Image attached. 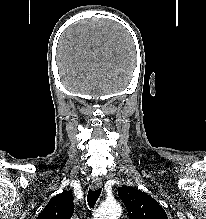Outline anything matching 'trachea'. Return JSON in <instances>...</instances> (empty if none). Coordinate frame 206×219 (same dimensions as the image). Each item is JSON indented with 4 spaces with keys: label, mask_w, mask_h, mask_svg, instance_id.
Instances as JSON below:
<instances>
[{
    "label": "trachea",
    "mask_w": 206,
    "mask_h": 219,
    "mask_svg": "<svg viewBox=\"0 0 206 219\" xmlns=\"http://www.w3.org/2000/svg\"><path fill=\"white\" fill-rule=\"evenodd\" d=\"M101 188L98 189H89L88 195H87V202L90 208H94L100 194H101Z\"/></svg>",
    "instance_id": "obj_1"
}]
</instances>
